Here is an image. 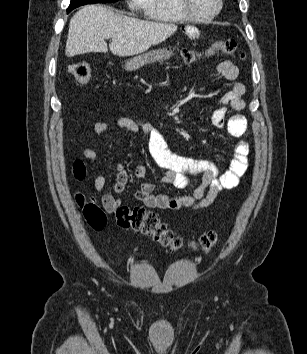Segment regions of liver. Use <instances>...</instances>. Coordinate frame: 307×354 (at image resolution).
Returning <instances> with one entry per match:
<instances>
[{
    "instance_id": "6515ba94",
    "label": "liver",
    "mask_w": 307,
    "mask_h": 354,
    "mask_svg": "<svg viewBox=\"0 0 307 354\" xmlns=\"http://www.w3.org/2000/svg\"><path fill=\"white\" fill-rule=\"evenodd\" d=\"M177 30V25L143 21L113 12L102 5H86L70 20L66 54L70 57L89 52H108L132 56L160 44Z\"/></svg>"
}]
</instances>
